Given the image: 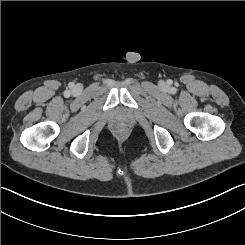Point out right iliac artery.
<instances>
[{
  "mask_svg": "<svg viewBox=\"0 0 245 245\" xmlns=\"http://www.w3.org/2000/svg\"><path fill=\"white\" fill-rule=\"evenodd\" d=\"M67 95H69L70 93L69 92H66Z\"/></svg>",
  "mask_w": 245,
  "mask_h": 245,
  "instance_id": "1",
  "label": "right iliac artery"
}]
</instances>
